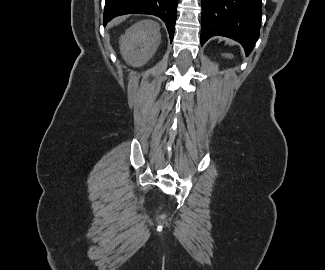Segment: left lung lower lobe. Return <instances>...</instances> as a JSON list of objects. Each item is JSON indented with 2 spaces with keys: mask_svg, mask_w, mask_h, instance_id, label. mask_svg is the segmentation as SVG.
I'll return each instance as SVG.
<instances>
[{
  "mask_svg": "<svg viewBox=\"0 0 325 270\" xmlns=\"http://www.w3.org/2000/svg\"><path fill=\"white\" fill-rule=\"evenodd\" d=\"M261 18V0H202L201 45L212 36H226L241 43L249 55Z\"/></svg>",
  "mask_w": 325,
  "mask_h": 270,
  "instance_id": "0a47b994",
  "label": "left lung lower lobe"
}]
</instances>
